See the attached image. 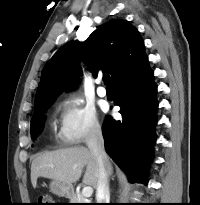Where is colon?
<instances>
[{
	"mask_svg": "<svg viewBox=\"0 0 200 205\" xmlns=\"http://www.w3.org/2000/svg\"><path fill=\"white\" fill-rule=\"evenodd\" d=\"M38 205H53V198L50 194H42L39 197Z\"/></svg>",
	"mask_w": 200,
	"mask_h": 205,
	"instance_id": "colon-1",
	"label": "colon"
}]
</instances>
